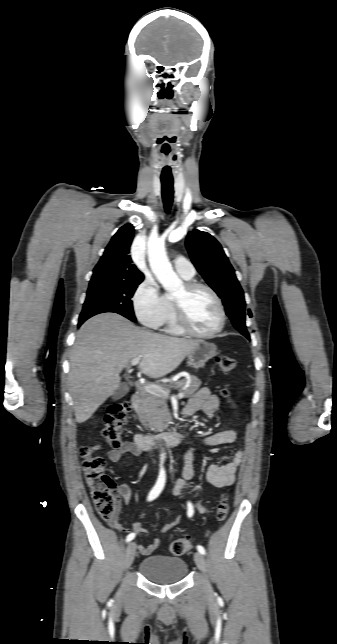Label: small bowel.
<instances>
[{"instance_id": "obj_1", "label": "small bowel", "mask_w": 337, "mask_h": 644, "mask_svg": "<svg viewBox=\"0 0 337 644\" xmlns=\"http://www.w3.org/2000/svg\"><path fill=\"white\" fill-rule=\"evenodd\" d=\"M228 403L232 407L235 406L234 401L231 398L228 399ZM219 406H220V398L216 394L212 393L210 389L202 388L197 393H195L194 396L190 398L183 413L186 416H191L198 411H202L205 413V415L208 418H212L216 410L219 408ZM237 438H238L237 431L233 429H229V430H223V431L208 435L207 437H205L204 443L208 446H217V445L233 443L234 441H236ZM127 453L132 454L134 456H139L141 454V450L132 442L126 441L119 448L106 451L105 455L112 463H118L122 460L124 454H127ZM194 453H195V447L193 446L189 448L184 455V466L182 470V475L175 482V485H174V494L179 498H183L181 491L184 485L186 484V482L191 480L194 477V474H195ZM242 457H243V450L239 449L235 453L234 458L230 462L226 463L225 465L211 464L206 471L207 481L216 487L231 486L235 481L236 473L241 463ZM116 491L123 498L126 504H129L131 502L132 492L130 487L127 484L125 483L120 484L117 487ZM192 506H193V509L194 508L197 509L200 513H204L206 511V508L199 502H192ZM142 517H143V513L139 515L138 519L133 524V530L136 533L146 532V529L143 523L141 522ZM109 524L113 529L119 532H122V533L128 532L120 525L119 521L116 518L110 521ZM176 525H177L176 521L166 523L160 527V532L167 533L172 529H174ZM161 544H162V540L160 538H155L147 546L139 544L138 550L142 555L148 556V555H151L155 550H157L161 546Z\"/></svg>"}]
</instances>
